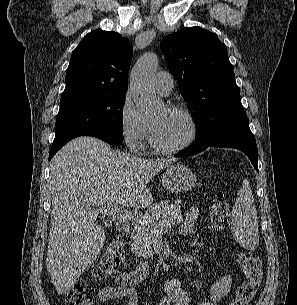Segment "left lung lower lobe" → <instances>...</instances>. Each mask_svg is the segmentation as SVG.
<instances>
[{
	"mask_svg": "<svg viewBox=\"0 0 297 305\" xmlns=\"http://www.w3.org/2000/svg\"><path fill=\"white\" fill-rule=\"evenodd\" d=\"M208 147L235 148L244 152L258 171V151L255 137L253 136L246 115H240L220 127L212 136H205L200 141L194 142L185 151L176 154L177 157H187L198 154ZM259 172V171H258Z\"/></svg>",
	"mask_w": 297,
	"mask_h": 305,
	"instance_id": "left-lung-lower-lobe-1",
	"label": "left lung lower lobe"
}]
</instances>
